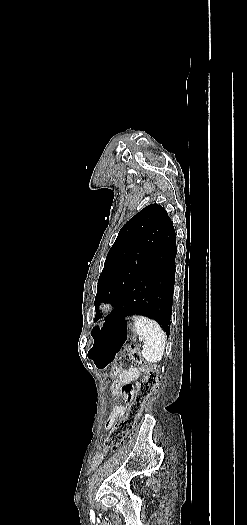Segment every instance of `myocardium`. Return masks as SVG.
I'll return each instance as SVG.
<instances>
[{"label": "myocardium", "mask_w": 247, "mask_h": 525, "mask_svg": "<svg viewBox=\"0 0 247 525\" xmlns=\"http://www.w3.org/2000/svg\"><path fill=\"white\" fill-rule=\"evenodd\" d=\"M106 306H107L106 303L101 304V308H104V307H106Z\"/></svg>", "instance_id": "obj_1"}]
</instances>
